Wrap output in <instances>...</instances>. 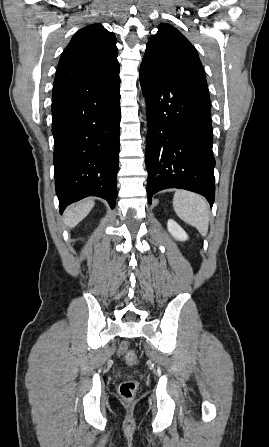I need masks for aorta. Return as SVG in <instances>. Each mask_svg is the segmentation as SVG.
<instances>
[{
    "mask_svg": "<svg viewBox=\"0 0 269 447\" xmlns=\"http://www.w3.org/2000/svg\"><path fill=\"white\" fill-rule=\"evenodd\" d=\"M142 106H145V102H144V100H143V104H142Z\"/></svg>",
    "mask_w": 269,
    "mask_h": 447,
    "instance_id": "obj_1",
    "label": "aorta"
}]
</instances>
